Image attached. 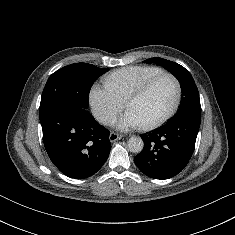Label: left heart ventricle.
Masks as SVG:
<instances>
[{
    "instance_id": "left-heart-ventricle-1",
    "label": "left heart ventricle",
    "mask_w": 235,
    "mask_h": 235,
    "mask_svg": "<svg viewBox=\"0 0 235 235\" xmlns=\"http://www.w3.org/2000/svg\"><path fill=\"white\" fill-rule=\"evenodd\" d=\"M176 95L174 82L169 78L157 81L140 99L132 102L128 108L142 125L162 117L172 106Z\"/></svg>"
}]
</instances>
